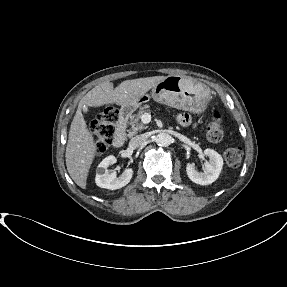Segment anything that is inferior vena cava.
Returning a JSON list of instances; mask_svg holds the SVG:
<instances>
[{
	"label": "inferior vena cava",
	"mask_w": 287,
	"mask_h": 287,
	"mask_svg": "<svg viewBox=\"0 0 287 287\" xmlns=\"http://www.w3.org/2000/svg\"><path fill=\"white\" fill-rule=\"evenodd\" d=\"M146 140V137L144 135H137L133 138H131L130 142H129V147L131 149H136L138 147H140Z\"/></svg>",
	"instance_id": "1"
}]
</instances>
